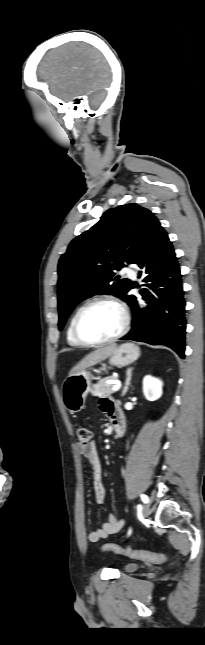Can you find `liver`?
Segmentation results:
<instances>
[{
	"instance_id": "liver-1",
	"label": "liver",
	"mask_w": 205,
	"mask_h": 645,
	"mask_svg": "<svg viewBox=\"0 0 205 645\" xmlns=\"http://www.w3.org/2000/svg\"><path fill=\"white\" fill-rule=\"evenodd\" d=\"M117 348L116 344H111L108 346H104L101 348H98L97 350L91 352L88 354L85 358H83L76 366H74L70 373L69 376L76 374L78 372H81L83 370H86L87 368L96 365L97 363L105 360L110 356V354Z\"/></svg>"
}]
</instances>
